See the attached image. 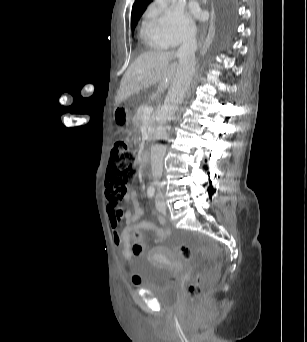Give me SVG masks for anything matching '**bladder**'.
Listing matches in <instances>:
<instances>
[{
    "mask_svg": "<svg viewBox=\"0 0 307 342\" xmlns=\"http://www.w3.org/2000/svg\"><path fill=\"white\" fill-rule=\"evenodd\" d=\"M178 277L169 267L151 264L142 273L139 287L158 298H168L178 288Z\"/></svg>",
    "mask_w": 307,
    "mask_h": 342,
    "instance_id": "bladder-1",
    "label": "bladder"
}]
</instances>
